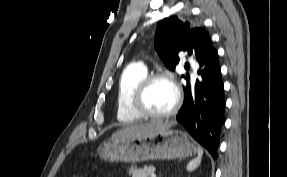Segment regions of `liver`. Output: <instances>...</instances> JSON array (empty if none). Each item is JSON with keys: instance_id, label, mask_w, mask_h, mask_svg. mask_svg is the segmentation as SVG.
Instances as JSON below:
<instances>
[{"instance_id": "obj_1", "label": "liver", "mask_w": 287, "mask_h": 177, "mask_svg": "<svg viewBox=\"0 0 287 177\" xmlns=\"http://www.w3.org/2000/svg\"><path fill=\"white\" fill-rule=\"evenodd\" d=\"M175 125V122H161V121H151L149 123H140L125 126L122 129L113 133L112 138H132L149 136L158 133L167 128H171Z\"/></svg>"}]
</instances>
